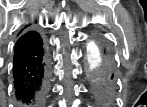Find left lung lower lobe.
I'll return each mask as SVG.
<instances>
[{"label":"left lung lower lobe","mask_w":147,"mask_h":107,"mask_svg":"<svg viewBox=\"0 0 147 107\" xmlns=\"http://www.w3.org/2000/svg\"><path fill=\"white\" fill-rule=\"evenodd\" d=\"M114 86V75H99L97 83L93 88V94L100 104H106L110 101L112 89Z\"/></svg>","instance_id":"1"}]
</instances>
